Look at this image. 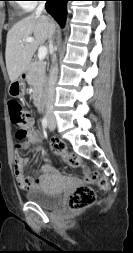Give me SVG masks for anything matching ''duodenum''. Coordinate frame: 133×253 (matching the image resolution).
I'll return each instance as SVG.
<instances>
[{"label":"duodenum","mask_w":133,"mask_h":253,"mask_svg":"<svg viewBox=\"0 0 133 253\" xmlns=\"http://www.w3.org/2000/svg\"><path fill=\"white\" fill-rule=\"evenodd\" d=\"M20 78H29V73H20ZM44 89L43 85H38L37 88L35 89V92L37 94V107L39 111H43L44 109V103L42 101V90Z\"/></svg>","instance_id":"410a0bca"}]
</instances>
